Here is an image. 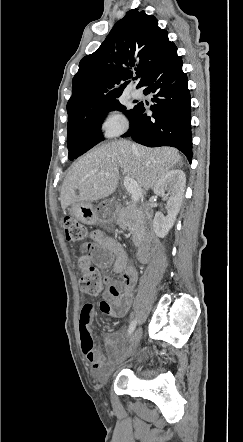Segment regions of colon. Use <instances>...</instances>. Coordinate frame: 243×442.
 Returning a JSON list of instances; mask_svg holds the SVG:
<instances>
[{"label":"colon","mask_w":243,"mask_h":442,"mask_svg":"<svg viewBox=\"0 0 243 442\" xmlns=\"http://www.w3.org/2000/svg\"><path fill=\"white\" fill-rule=\"evenodd\" d=\"M63 225L66 239L72 242H80L78 263L82 270L80 279L82 291L89 295L99 294L105 282L101 277L100 271L91 264V245L87 240L86 227L75 218L69 216L63 219ZM70 248L74 251L77 247L73 244Z\"/></svg>","instance_id":"1"}]
</instances>
